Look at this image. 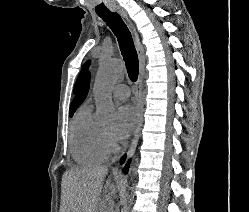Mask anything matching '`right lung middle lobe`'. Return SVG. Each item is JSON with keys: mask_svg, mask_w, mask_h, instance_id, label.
<instances>
[{"mask_svg": "<svg viewBox=\"0 0 249 212\" xmlns=\"http://www.w3.org/2000/svg\"><path fill=\"white\" fill-rule=\"evenodd\" d=\"M74 112H75V111L69 112L70 117L73 116Z\"/></svg>", "mask_w": 249, "mask_h": 212, "instance_id": "obj_1", "label": "right lung middle lobe"}]
</instances>
